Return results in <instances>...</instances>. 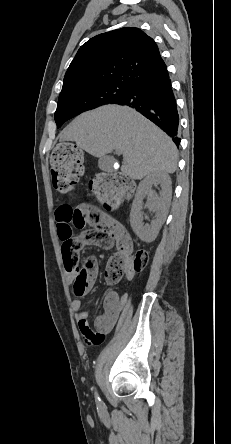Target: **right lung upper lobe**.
<instances>
[{
  "label": "right lung upper lobe",
  "mask_w": 231,
  "mask_h": 444,
  "mask_svg": "<svg viewBox=\"0 0 231 444\" xmlns=\"http://www.w3.org/2000/svg\"><path fill=\"white\" fill-rule=\"evenodd\" d=\"M167 70L154 40L138 28L124 27L97 35L78 50L61 92L135 82Z\"/></svg>",
  "instance_id": "right-lung-upper-lobe-1"
}]
</instances>
